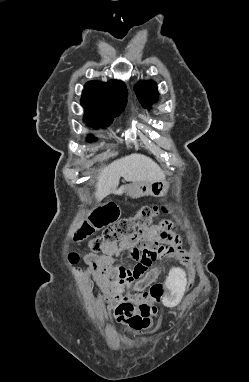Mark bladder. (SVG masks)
Returning <instances> with one entry per match:
<instances>
[{"mask_svg": "<svg viewBox=\"0 0 249 382\" xmlns=\"http://www.w3.org/2000/svg\"><path fill=\"white\" fill-rule=\"evenodd\" d=\"M121 332H122L123 334H125V335H131V334H132V332L129 331V330H121Z\"/></svg>", "mask_w": 249, "mask_h": 382, "instance_id": "obj_1", "label": "bladder"}]
</instances>
